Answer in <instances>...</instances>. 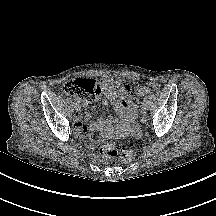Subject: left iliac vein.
<instances>
[{
	"mask_svg": "<svg viewBox=\"0 0 216 216\" xmlns=\"http://www.w3.org/2000/svg\"><path fill=\"white\" fill-rule=\"evenodd\" d=\"M147 109H148L147 103L146 102L142 103V105H141V113L145 114Z\"/></svg>",
	"mask_w": 216,
	"mask_h": 216,
	"instance_id": "left-iliac-vein-1",
	"label": "left iliac vein"
}]
</instances>
